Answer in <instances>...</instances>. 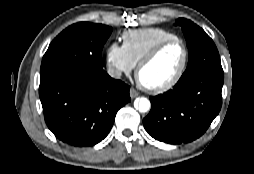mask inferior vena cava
<instances>
[{"label": "inferior vena cava", "instance_id": "1", "mask_svg": "<svg viewBox=\"0 0 254 174\" xmlns=\"http://www.w3.org/2000/svg\"><path fill=\"white\" fill-rule=\"evenodd\" d=\"M107 72H108V74H109L112 78H115V79L120 78L121 75H122L121 70H119V69H117V68H113V67L109 68Z\"/></svg>", "mask_w": 254, "mask_h": 174}]
</instances>
